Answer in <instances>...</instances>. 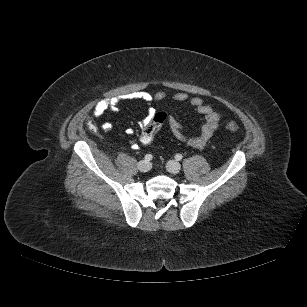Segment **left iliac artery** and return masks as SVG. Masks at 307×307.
Wrapping results in <instances>:
<instances>
[{"label":"left iliac artery","mask_w":307,"mask_h":307,"mask_svg":"<svg viewBox=\"0 0 307 307\" xmlns=\"http://www.w3.org/2000/svg\"><path fill=\"white\" fill-rule=\"evenodd\" d=\"M183 158V156L181 154H176L175 159L177 161H180Z\"/></svg>","instance_id":"obj_1"}]
</instances>
